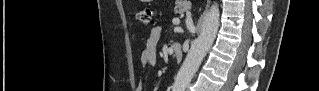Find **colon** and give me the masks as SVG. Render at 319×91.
Segmentation results:
<instances>
[{
  "label": "colon",
  "mask_w": 319,
  "mask_h": 91,
  "mask_svg": "<svg viewBox=\"0 0 319 91\" xmlns=\"http://www.w3.org/2000/svg\"><path fill=\"white\" fill-rule=\"evenodd\" d=\"M138 19L145 25L153 23V12L149 7L143 8L138 12Z\"/></svg>",
  "instance_id": "colon-1"
}]
</instances>
